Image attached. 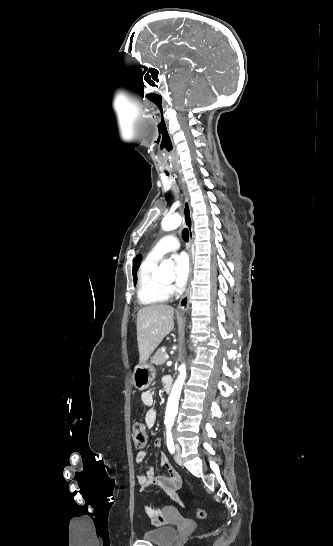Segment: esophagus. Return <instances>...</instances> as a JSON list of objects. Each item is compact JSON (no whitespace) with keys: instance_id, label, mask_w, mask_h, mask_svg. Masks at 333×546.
Returning a JSON list of instances; mask_svg holds the SVG:
<instances>
[{"instance_id":"34e87169","label":"esophagus","mask_w":333,"mask_h":546,"mask_svg":"<svg viewBox=\"0 0 333 546\" xmlns=\"http://www.w3.org/2000/svg\"><path fill=\"white\" fill-rule=\"evenodd\" d=\"M183 220H184L185 226L189 230V250H188V252H189V256H190V274H189V283H190L191 278H192V264H193L192 245H193L194 234H193V223H192V216H191V207H190V204H189V198H188V194H187L186 190H184ZM190 293H191V287H190V284H189L186 293L184 294V296L181 298V300L179 302V305H178V308H177V313L182 314L188 309Z\"/></svg>"}]
</instances>
